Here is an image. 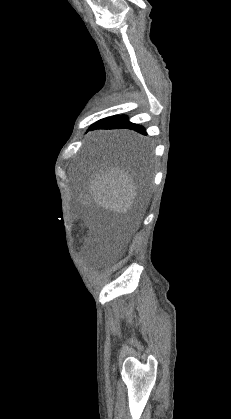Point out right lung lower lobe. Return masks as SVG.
Instances as JSON below:
<instances>
[{
    "label": "right lung lower lobe",
    "instance_id": "right-lung-lower-lobe-1",
    "mask_svg": "<svg viewBox=\"0 0 231 419\" xmlns=\"http://www.w3.org/2000/svg\"><path fill=\"white\" fill-rule=\"evenodd\" d=\"M121 128H127L132 129L134 131H137L141 134H146L145 129L141 125H137L134 123H131L128 121V118L126 116H113L108 117L105 119H102L95 124H93L90 128V130L94 129H121Z\"/></svg>",
    "mask_w": 231,
    "mask_h": 419
}]
</instances>
